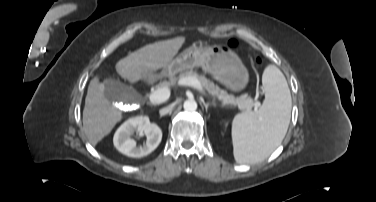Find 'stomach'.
Here are the masks:
<instances>
[{
  "label": "stomach",
  "mask_w": 376,
  "mask_h": 202,
  "mask_svg": "<svg viewBox=\"0 0 376 202\" xmlns=\"http://www.w3.org/2000/svg\"><path fill=\"white\" fill-rule=\"evenodd\" d=\"M194 67H201L232 90L241 89L248 78L240 58L225 44L193 45L164 66L163 74L170 79L177 78L178 74Z\"/></svg>",
  "instance_id": "obj_1"
}]
</instances>
